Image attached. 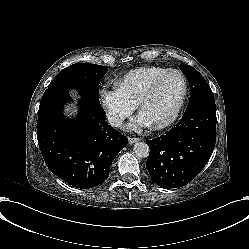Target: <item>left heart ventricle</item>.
<instances>
[{
    "label": "left heart ventricle",
    "mask_w": 249,
    "mask_h": 249,
    "mask_svg": "<svg viewBox=\"0 0 249 249\" xmlns=\"http://www.w3.org/2000/svg\"><path fill=\"white\" fill-rule=\"evenodd\" d=\"M180 94L181 83L177 77H173L145 106L143 117L153 123L166 121L171 116Z\"/></svg>",
    "instance_id": "obj_1"
}]
</instances>
